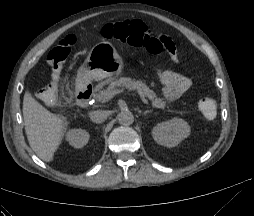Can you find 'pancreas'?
<instances>
[{
    "instance_id": "cf45deb5",
    "label": "pancreas",
    "mask_w": 254,
    "mask_h": 216,
    "mask_svg": "<svg viewBox=\"0 0 254 216\" xmlns=\"http://www.w3.org/2000/svg\"><path fill=\"white\" fill-rule=\"evenodd\" d=\"M105 86H107L106 90H100L97 94V99L99 101L103 100V95L106 91L116 89L117 87H124L130 91L135 90L140 96L148 98L155 108L163 110L168 109V112L179 113L177 111L170 110L169 106L166 105V102L162 98H159L140 80H135L128 77H110L100 85L101 88H104Z\"/></svg>"
}]
</instances>
